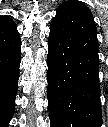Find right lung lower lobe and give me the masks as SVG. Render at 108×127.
Here are the masks:
<instances>
[{
	"instance_id": "98d812e1",
	"label": "right lung lower lobe",
	"mask_w": 108,
	"mask_h": 127,
	"mask_svg": "<svg viewBox=\"0 0 108 127\" xmlns=\"http://www.w3.org/2000/svg\"><path fill=\"white\" fill-rule=\"evenodd\" d=\"M21 40L10 18L0 19V125L7 126L14 111L17 93Z\"/></svg>"
}]
</instances>
